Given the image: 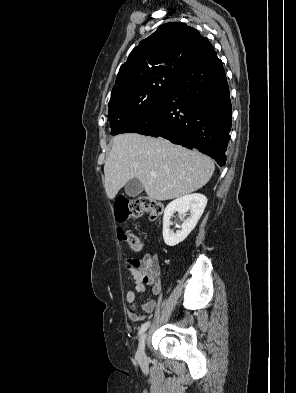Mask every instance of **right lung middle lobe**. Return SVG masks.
<instances>
[{
  "mask_svg": "<svg viewBox=\"0 0 296 393\" xmlns=\"http://www.w3.org/2000/svg\"><path fill=\"white\" fill-rule=\"evenodd\" d=\"M175 79L154 80L133 98L109 104L111 134L117 135L131 122L148 112L175 85Z\"/></svg>",
  "mask_w": 296,
  "mask_h": 393,
  "instance_id": "obj_1",
  "label": "right lung middle lobe"
}]
</instances>
